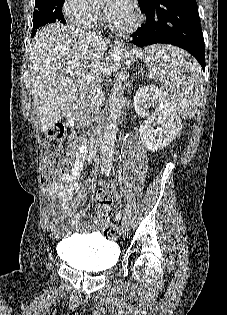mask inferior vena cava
Listing matches in <instances>:
<instances>
[{"instance_id": "obj_1", "label": "inferior vena cava", "mask_w": 227, "mask_h": 315, "mask_svg": "<svg viewBox=\"0 0 227 315\" xmlns=\"http://www.w3.org/2000/svg\"><path fill=\"white\" fill-rule=\"evenodd\" d=\"M90 34H91L93 37L100 36V34H98L97 32H90ZM110 164H111V161H106V160H104V159H102V161H101L102 168L110 167Z\"/></svg>"}]
</instances>
